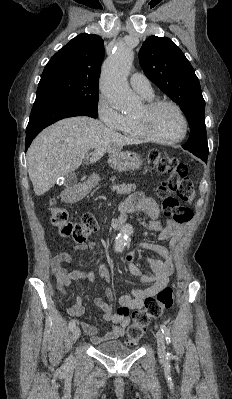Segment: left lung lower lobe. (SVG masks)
Segmentation results:
<instances>
[{"mask_svg":"<svg viewBox=\"0 0 232 399\" xmlns=\"http://www.w3.org/2000/svg\"><path fill=\"white\" fill-rule=\"evenodd\" d=\"M201 158L205 163L207 162V157H199Z\"/></svg>","mask_w":232,"mask_h":399,"instance_id":"left-lung-lower-lobe-1","label":"left lung lower lobe"}]
</instances>
